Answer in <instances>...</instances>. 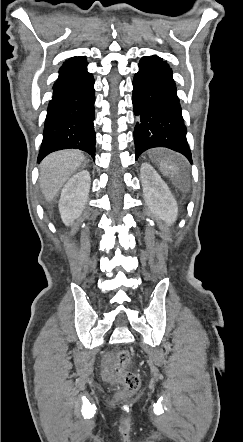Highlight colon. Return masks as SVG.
I'll return each instance as SVG.
<instances>
[{"mask_svg": "<svg viewBox=\"0 0 243 442\" xmlns=\"http://www.w3.org/2000/svg\"><path fill=\"white\" fill-rule=\"evenodd\" d=\"M131 360V353L127 349L120 350L116 356L113 371L122 383L121 394L124 396L134 394L140 387V379L137 374L127 369Z\"/></svg>", "mask_w": 243, "mask_h": 442, "instance_id": "1", "label": "colon"}]
</instances>
